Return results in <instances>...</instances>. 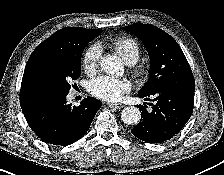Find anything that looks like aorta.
Returning <instances> with one entry per match:
<instances>
[{
    "label": "aorta",
    "mask_w": 224,
    "mask_h": 175,
    "mask_svg": "<svg viewBox=\"0 0 224 175\" xmlns=\"http://www.w3.org/2000/svg\"><path fill=\"white\" fill-rule=\"evenodd\" d=\"M101 68L108 75L122 76L124 67L122 61L115 55H106L101 59ZM122 121L128 125L138 124L141 119L140 110L135 106L125 107L121 113Z\"/></svg>",
    "instance_id": "aorta-1"
}]
</instances>
